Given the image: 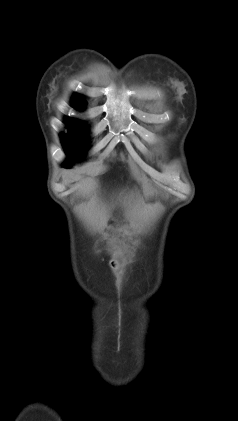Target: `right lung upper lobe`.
<instances>
[{"label": "right lung upper lobe", "instance_id": "right-lung-upper-lobe-1", "mask_svg": "<svg viewBox=\"0 0 238 421\" xmlns=\"http://www.w3.org/2000/svg\"><path fill=\"white\" fill-rule=\"evenodd\" d=\"M73 104H81V105H84L85 102H84V99L82 97L75 96L74 99H73Z\"/></svg>", "mask_w": 238, "mask_h": 421}]
</instances>
